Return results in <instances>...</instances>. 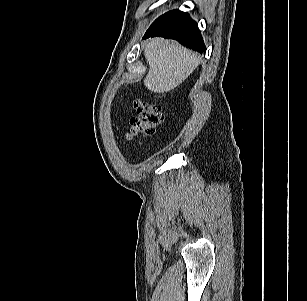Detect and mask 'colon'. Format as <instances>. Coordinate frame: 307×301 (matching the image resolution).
<instances>
[{
    "label": "colon",
    "mask_w": 307,
    "mask_h": 301,
    "mask_svg": "<svg viewBox=\"0 0 307 301\" xmlns=\"http://www.w3.org/2000/svg\"><path fill=\"white\" fill-rule=\"evenodd\" d=\"M135 108L137 116L131 119L130 136L151 135L162 121L161 108L150 103H138Z\"/></svg>",
    "instance_id": "colon-1"
}]
</instances>
